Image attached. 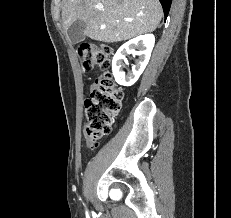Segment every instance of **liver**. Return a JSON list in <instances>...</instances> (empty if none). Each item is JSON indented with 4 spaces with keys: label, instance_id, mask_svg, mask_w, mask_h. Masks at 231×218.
<instances>
[{
    "label": "liver",
    "instance_id": "1",
    "mask_svg": "<svg viewBox=\"0 0 231 218\" xmlns=\"http://www.w3.org/2000/svg\"><path fill=\"white\" fill-rule=\"evenodd\" d=\"M98 5L103 6L102 11L97 9ZM162 15L159 0H64L62 6V24L66 31L81 20L85 22L84 36L105 43L152 32ZM126 18L131 21H125Z\"/></svg>",
    "mask_w": 231,
    "mask_h": 218
}]
</instances>
